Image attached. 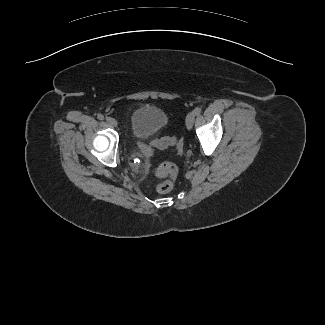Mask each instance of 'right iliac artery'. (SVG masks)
<instances>
[{
	"label": "right iliac artery",
	"instance_id": "right-iliac-artery-1",
	"mask_svg": "<svg viewBox=\"0 0 325 325\" xmlns=\"http://www.w3.org/2000/svg\"><path fill=\"white\" fill-rule=\"evenodd\" d=\"M97 118H98L99 120H103V119H104V116H103L102 114H98Z\"/></svg>",
	"mask_w": 325,
	"mask_h": 325
}]
</instances>
